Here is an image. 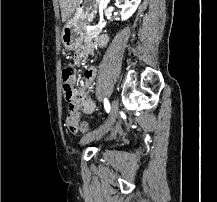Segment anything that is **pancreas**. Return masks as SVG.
<instances>
[{"label": "pancreas", "instance_id": "obj_1", "mask_svg": "<svg viewBox=\"0 0 217 202\" xmlns=\"http://www.w3.org/2000/svg\"><path fill=\"white\" fill-rule=\"evenodd\" d=\"M96 35H99V30H88L87 31V36L84 37V40L92 41L93 38H96Z\"/></svg>", "mask_w": 217, "mask_h": 202}]
</instances>
